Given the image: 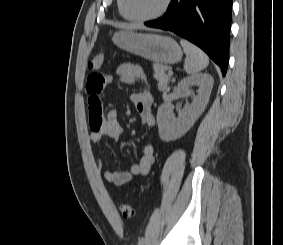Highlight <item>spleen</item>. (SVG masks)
Listing matches in <instances>:
<instances>
[{"instance_id": "1", "label": "spleen", "mask_w": 283, "mask_h": 245, "mask_svg": "<svg viewBox=\"0 0 283 245\" xmlns=\"http://www.w3.org/2000/svg\"><path fill=\"white\" fill-rule=\"evenodd\" d=\"M180 44L187 56L184 63L187 74L195 75L208 66L209 59L199 47L185 39H181Z\"/></svg>"}]
</instances>
